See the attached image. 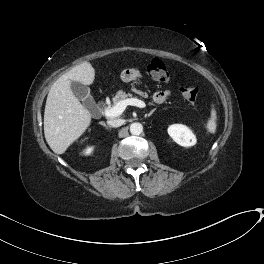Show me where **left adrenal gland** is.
<instances>
[{
  "mask_svg": "<svg viewBox=\"0 0 264 264\" xmlns=\"http://www.w3.org/2000/svg\"><path fill=\"white\" fill-rule=\"evenodd\" d=\"M155 110H156V109H153L152 111H150V113H148L147 116H148V117L151 116Z\"/></svg>",
  "mask_w": 264,
  "mask_h": 264,
  "instance_id": "left-adrenal-gland-1",
  "label": "left adrenal gland"
}]
</instances>
